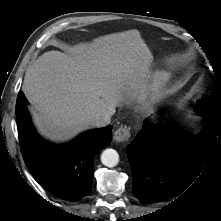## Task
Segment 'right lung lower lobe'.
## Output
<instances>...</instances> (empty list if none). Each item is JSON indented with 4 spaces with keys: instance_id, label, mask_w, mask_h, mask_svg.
Instances as JSON below:
<instances>
[{
    "instance_id": "1",
    "label": "right lung lower lobe",
    "mask_w": 221,
    "mask_h": 221,
    "mask_svg": "<svg viewBox=\"0 0 221 221\" xmlns=\"http://www.w3.org/2000/svg\"><path fill=\"white\" fill-rule=\"evenodd\" d=\"M28 101L18 93L16 119L21 153L26 166L54 196L70 202L88 194L94 175V156L112 140V126L90 130L65 145L44 141L35 131Z\"/></svg>"
}]
</instances>
